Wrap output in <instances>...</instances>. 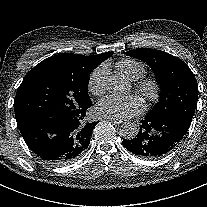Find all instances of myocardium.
<instances>
[{
  "mask_svg": "<svg viewBox=\"0 0 207 207\" xmlns=\"http://www.w3.org/2000/svg\"><path fill=\"white\" fill-rule=\"evenodd\" d=\"M135 91L139 93L146 102H155L161 94V85L155 78H145L135 85Z\"/></svg>",
  "mask_w": 207,
  "mask_h": 207,
  "instance_id": "myocardium-1",
  "label": "myocardium"
}]
</instances>
